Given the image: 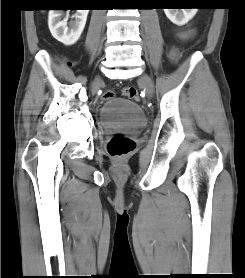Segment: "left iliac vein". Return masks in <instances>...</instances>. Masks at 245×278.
Instances as JSON below:
<instances>
[{"mask_svg":"<svg viewBox=\"0 0 245 278\" xmlns=\"http://www.w3.org/2000/svg\"><path fill=\"white\" fill-rule=\"evenodd\" d=\"M139 81L145 86L148 97H152L154 94V85L150 76L146 73H142L139 77Z\"/></svg>","mask_w":245,"mask_h":278,"instance_id":"4c4485c4","label":"left iliac vein"}]
</instances>
